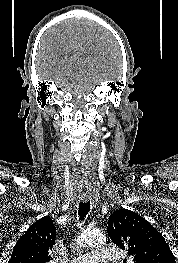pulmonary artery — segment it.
Wrapping results in <instances>:
<instances>
[{
	"mask_svg": "<svg viewBox=\"0 0 178 263\" xmlns=\"http://www.w3.org/2000/svg\"><path fill=\"white\" fill-rule=\"evenodd\" d=\"M123 257V251L113 247H99L73 258L70 263H118Z\"/></svg>",
	"mask_w": 178,
	"mask_h": 263,
	"instance_id": "obj_1",
	"label": "pulmonary artery"
}]
</instances>
